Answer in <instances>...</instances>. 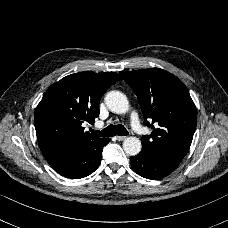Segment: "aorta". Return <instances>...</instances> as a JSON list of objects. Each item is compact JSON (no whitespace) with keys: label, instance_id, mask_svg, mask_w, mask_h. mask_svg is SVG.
<instances>
[{"label":"aorta","instance_id":"1","mask_svg":"<svg viewBox=\"0 0 228 228\" xmlns=\"http://www.w3.org/2000/svg\"><path fill=\"white\" fill-rule=\"evenodd\" d=\"M104 102L110 111L119 114L126 112L129 106L126 95L117 90L107 92ZM123 149L127 155L136 156L141 151V142L136 137H127L123 142Z\"/></svg>","mask_w":228,"mask_h":228}]
</instances>
